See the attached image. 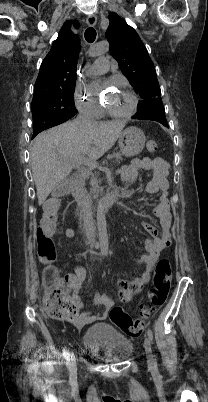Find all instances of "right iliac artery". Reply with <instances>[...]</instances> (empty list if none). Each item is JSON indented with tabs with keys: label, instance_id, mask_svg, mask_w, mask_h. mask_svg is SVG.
<instances>
[{
	"label": "right iliac artery",
	"instance_id": "obj_1",
	"mask_svg": "<svg viewBox=\"0 0 208 402\" xmlns=\"http://www.w3.org/2000/svg\"><path fill=\"white\" fill-rule=\"evenodd\" d=\"M63 356H64V358H65L66 360H68V358H69V352H68V350H67V347H64V348H63Z\"/></svg>",
	"mask_w": 208,
	"mask_h": 402
}]
</instances>
